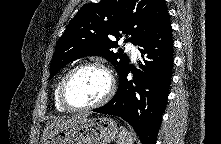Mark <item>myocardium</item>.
Instances as JSON below:
<instances>
[{
  "instance_id": "f54148a6",
  "label": "myocardium",
  "mask_w": 221,
  "mask_h": 144,
  "mask_svg": "<svg viewBox=\"0 0 221 144\" xmlns=\"http://www.w3.org/2000/svg\"><path fill=\"white\" fill-rule=\"evenodd\" d=\"M85 68H97L103 71L108 78V82H109L108 90L105 93V95L100 100L96 101L95 103L85 105V106H75L71 104L67 99V87L71 79L74 77V75L78 73L80 70L85 69ZM114 92H115V80L109 68L101 62L88 61V62H83L77 65L65 75L59 88V102L61 106L69 112L87 111V110H91V109H94V108H97L106 104L112 98Z\"/></svg>"
}]
</instances>
